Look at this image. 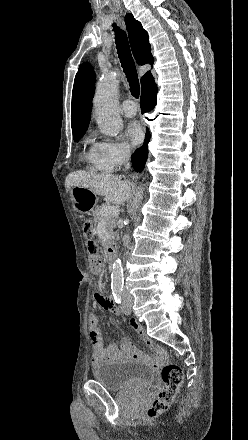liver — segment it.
Instances as JSON below:
<instances>
[{
  "instance_id": "6515ba94",
  "label": "liver",
  "mask_w": 248,
  "mask_h": 440,
  "mask_svg": "<svg viewBox=\"0 0 248 440\" xmlns=\"http://www.w3.org/2000/svg\"><path fill=\"white\" fill-rule=\"evenodd\" d=\"M74 186L83 187L96 195L104 196L105 201L114 204H123L131 195V183L128 180H122L121 176L112 174L74 171L66 177V191Z\"/></svg>"
}]
</instances>
